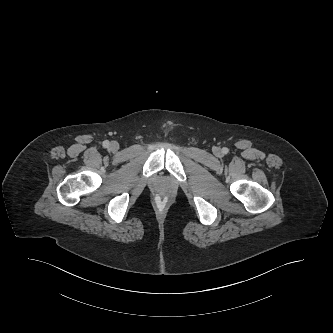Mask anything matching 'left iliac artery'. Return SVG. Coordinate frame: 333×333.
Returning <instances> with one entry per match:
<instances>
[{"mask_svg":"<svg viewBox=\"0 0 333 333\" xmlns=\"http://www.w3.org/2000/svg\"><path fill=\"white\" fill-rule=\"evenodd\" d=\"M222 151H223L224 154H227L228 153V148H223Z\"/></svg>","mask_w":333,"mask_h":333,"instance_id":"1","label":"left iliac artery"}]
</instances>
